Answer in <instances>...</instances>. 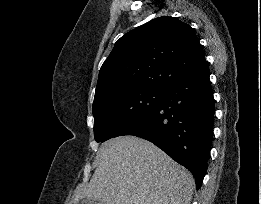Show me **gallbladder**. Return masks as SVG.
Listing matches in <instances>:
<instances>
[{
	"label": "gallbladder",
	"mask_w": 261,
	"mask_h": 204,
	"mask_svg": "<svg viewBox=\"0 0 261 204\" xmlns=\"http://www.w3.org/2000/svg\"><path fill=\"white\" fill-rule=\"evenodd\" d=\"M81 204H105V202L100 199L85 198L81 201Z\"/></svg>",
	"instance_id": "gallbladder-1"
}]
</instances>
